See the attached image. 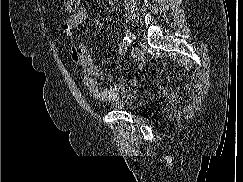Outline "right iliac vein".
Returning a JSON list of instances; mask_svg holds the SVG:
<instances>
[{"instance_id":"1","label":"right iliac vein","mask_w":243,"mask_h":182,"mask_svg":"<svg viewBox=\"0 0 243 182\" xmlns=\"http://www.w3.org/2000/svg\"><path fill=\"white\" fill-rule=\"evenodd\" d=\"M125 33L128 37H130L132 40L136 39L135 35L128 29H125Z\"/></svg>"}]
</instances>
